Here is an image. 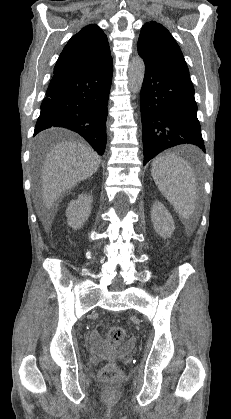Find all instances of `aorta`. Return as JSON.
<instances>
[{"label":"aorta","instance_id":"762f6f07","mask_svg":"<svg viewBox=\"0 0 231 419\" xmlns=\"http://www.w3.org/2000/svg\"><path fill=\"white\" fill-rule=\"evenodd\" d=\"M145 75V64L142 58L136 56L132 58L128 69V84L132 93H138L141 90Z\"/></svg>","mask_w":231,"mask_h":419}]
</instances>
